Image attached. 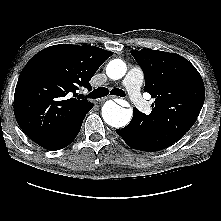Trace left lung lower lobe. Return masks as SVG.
Segmentation results:
<instances>
[{
	"mask_svg": "<svg viewBox=\"0 0 221 221\" xmlns=\"http://www.w3.org/2000/svg\"><path fill=\"white\" fill-rule=\"evenodd\" d=\"M139 118L140 111L137 108H134V114L131 122L122 129H116V133L122 137L125 143L134 149L147 152L156 151L148 145L146 140L142 137V134L134 125L139 120Z\"/></svg>",
	"mask_w": 221,
	"mask_h": 221,
	"instance_id": "obj_1",
	"label": "left lung lower lobe"
}]
</instances>
